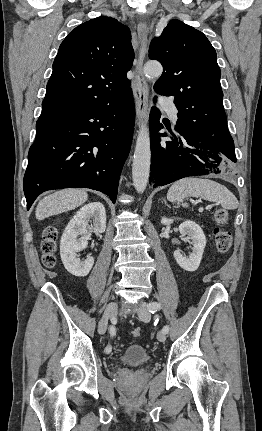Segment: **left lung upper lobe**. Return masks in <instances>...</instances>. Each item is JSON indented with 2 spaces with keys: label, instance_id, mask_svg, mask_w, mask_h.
<instances>
[{
  "label": "left lung upper lobe",
  "instance_id": "obj_1",
  "mask_svg": "<svg viewBox=\"0 0 262 431\" xmlns=\"http://www.w3.org/2000/svg\"><path fill=\"white\" fill-rule=\"evenodd\" d=\"M149 57L163 65L154 90L174 97L178 132L210 142L229 135L216 51L202 32L171 20L151 42Z\"/></svg>",
  "mask_w": 262,
  "mask_h": 431
}]
</instances>
